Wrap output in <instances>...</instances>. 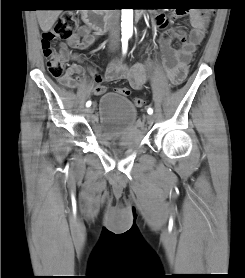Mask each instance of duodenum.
<instances>
[{
    "mask_svg": "<svg viewBox=\"0 0 245 278\" xmlns=\"http://www.w3.org/2000/svg\"><path fill=\"white\" fill-rule=\"evenodd\" d=\"M135 14L137 20L142 19L143 12L141 9H136ZM82 19L87 26L95 30L97 33H105L110 29L107 19L98 11H86L82 16Z\"/></svg>",
    "mask_w": 245,
    "mask_h": 278,
    "instance_id": "duodenum-1",
    "label": "duodenum"
}]
</instances>
